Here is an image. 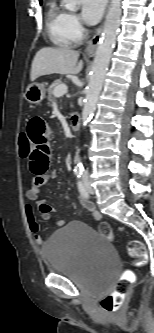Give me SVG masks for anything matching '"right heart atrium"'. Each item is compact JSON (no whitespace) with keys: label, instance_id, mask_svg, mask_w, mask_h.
<instances>
[{"label":"right heart atrium","instance_id":"1","mask_svg":"<svg viewBox=\"0 0 154 333\" xmlns=\"http://www.w3.org/2000/svg\"><path fill=\"white\" fill-rule=\"evenodd\" d=\"M68 29L72 35V37L76 40L79 41L83 38L85 29L83 24L81 23L80 18L73 13L68 14Z\"/></svg>","mask_w":154,"mask_h":333}]
</instances>
